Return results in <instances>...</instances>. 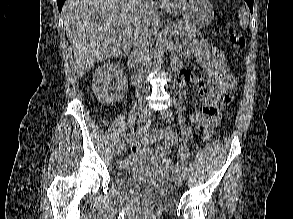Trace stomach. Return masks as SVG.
<instances>
[{
	"label": "stomach",
	"mask_w": 293,
	"mask_h": 219,
	"mask_svg": "<svg viewBox=\"0 0 293 219\" xmlns=\"http://www.w3.org/2000/svg\"><path fill=\"white\" fill-rule=\"evenodd\" d=\"M162 7L168 13L181 15L197 28L207 26L214 17L213 6L208 0H176Z\"/></svg>",
	"instance_id": "stomach-1"
}]
</instances>
